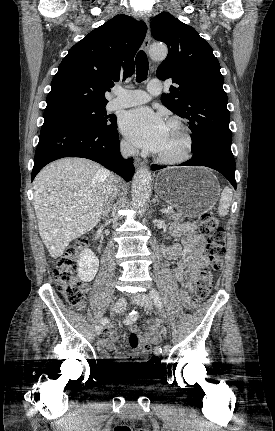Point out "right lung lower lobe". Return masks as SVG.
Listing matches in <instances>:
<instances>
[{
	"instance_id": "obj_1",
	"label": "right lung lower lobe",
	"mask_w": 275,
	"mask_h": 431,
	"mask_svg": "<svg viewBox=\"0 0 275 431\" xmlns=\"http://www.w3.org/2000/svg\"><path fill=\"white\" fill-rule=\"evenodd\" d=\"M63 157H83L100 163L130 181L133 158L120 154L117 121L111 128H94L72 121L44 122L34 157L31 181L48 163Z\"/></svg>"
}]
</instances>
